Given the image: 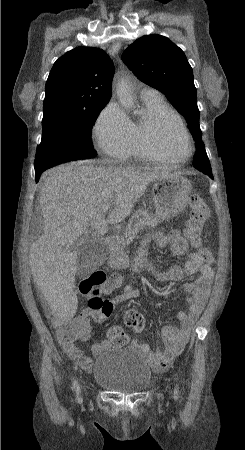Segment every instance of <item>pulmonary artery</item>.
I'll use <instances>...</instances> for the list:
<instances>
[{"label":"pulmonary artery","instance_id":"obj_1","mask_svg":"<svg viewBox=\"0 0 245 450\" xmlns=\"http://www.w3.org/2000/svg\"><path fill=\"white\" fill-rule=\"evenodd\" d=\"M155 95H159V92L156 89L148 86L142 88L140 91L141 98L152 97Z\"/></svg>","mask_w":245,"mask_h":450}]
</instances>
